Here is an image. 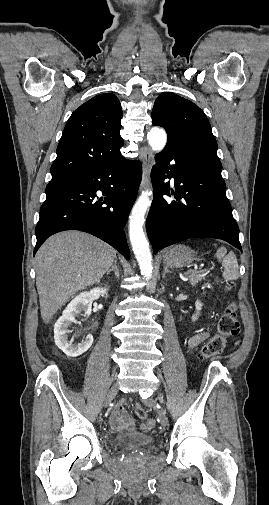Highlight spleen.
I'll return each mask as SVG.
<instances>
[{
	"label": "spleen",
	"instance_id": "obj_1",
	"mask_svg": "<svg viewBox=\"0 0 269 505\" xmlns=\"http://www.w3.org/2000/svg\"><path fill=\"white\" fill-rule=\"evenodd\" d=\"M214 246L216 247L217 245L214 244ZM216 257L224 267L222 273L224 280H237L239 278V266L236 255L233 252L227 253V249L221 246L217 249Z\"/></svg>",
	"mask_w": 269,
	"mask_h": 505
}]
</instances>
